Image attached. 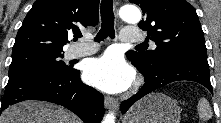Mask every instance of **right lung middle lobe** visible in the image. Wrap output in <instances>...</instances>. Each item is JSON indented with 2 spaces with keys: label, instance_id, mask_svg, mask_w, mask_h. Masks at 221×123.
<instances>
[{
  "label": "right lung middle lobe",
  "instance_id": "dd1d6c3e",
  "mask_svg": "<svg viewBox=\"0 0 221 123\" xmlns=\"http://www.w3.org/2000/svg\"><path fill=\"white\" fill-rule=\"evenodd\" d=\"M63 56L61 51L35 50L12 53V63L9 67V74L29 69L65 72L71 68L60 60Z\"/></svg>",
  "mask_w": 221,
  "mask_h": 123
}]
</instances>
